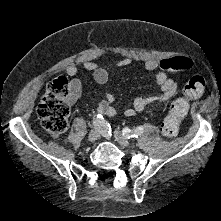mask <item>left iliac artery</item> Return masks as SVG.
<instances>
[{"instance_id": "44dca946", "label": "left iliac artery", "mask_w": 221, "mask_h": 221, "mask_svg": "<svg viewBox=\"0 0 221 221\" xmlns=\"http://www.w3.org/2000/svg\"><path fill=\"white\" fill-rule=\"evenodd\" d=\"M130 132L131 130L129 128H124L123 129V135L125 138H130V137H138L139 135H141L143 133V127L139 126L137 127L134 131L133 134L130 136Z\"/></svg>"}]
</instances>
